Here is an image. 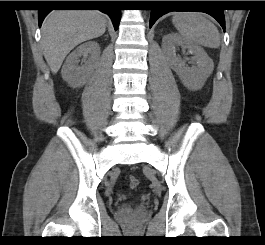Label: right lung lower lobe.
Here are the masks:
<instances>
[{"label":"right lung lower lobe","instance_id":"1","mask_svg":"<svg viewBox=\"0 0 265 245\" xmlns=\"http://www.w3.org/2000/svg\"><path fill=\"white\" fill-rule=\"evenodd\" d=\"M118 1H92L91 3H82L80 6L98 7L100 11L108 14L112 19L115 30L118 29L120 21V9L118 8ZM60 6V5H58ZM63 6V5H62ZM50 9L38 10V22L41 26L44 18L50 12Z\"/></svg>","mask_w":265,"mask_h":245}]
</instances>
